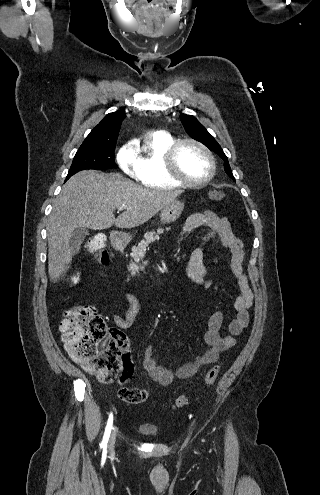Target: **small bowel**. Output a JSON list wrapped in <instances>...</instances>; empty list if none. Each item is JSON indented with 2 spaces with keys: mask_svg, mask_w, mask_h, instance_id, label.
Returning a JSON list of instances; mask_svg holds the SVG:
<instances>
[{
  "mask_svg": "<svg viewBox=\"0 0 320 495\" xmlns=\"http://www.w3.org/2000/svg\"><path fill=\"white\" fill-rule=\"evenodd\" d=\"M198 228L206 229V234L203 237L204 242L218 238L221 245L229 251V266L237 292L234 301L236 315L228 323L227 332L221 333L224 314L222 311L213 313L208 320L207 330L204 334L207 350L197 356L193 362L186 363L176 370H169L158 365L153 354V347L148 345L144 352L143 368L153 381L162 386H168L176 379L190 378L201 367L215 363L222 352L228 351L235 346L236 336L240 335L248 325V310L252 305L253 293L243 268L244 251L242 242L234 234L230 222L210 210L190 215L186 219L181 233L182 235H187ZM203 258V250L199 246L191 253L184 266V271L193 282L208 287L210 282L206 278L207 269ZM125 300L129 305L126 318H122L116 313L112 316L113 321L120 328H127L139 310V301L135 295L127 293ZM131 374L132 366L123 368L122 375L125 382Z\"/></svg>",
  "mask_w": 320,
  "mask_h": 495,
  "instance_id": "1",
  "label": "small bowel"
}]
</instances>
